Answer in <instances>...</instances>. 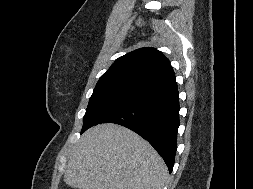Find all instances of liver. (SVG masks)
I'll list each match as a JSON object with an SVG mask.
<instances>
[{
    "label": "liver",
    "mask_w": 253,
    "mask_h": 189,
    "mask_svg": "<svg viewBox=\"0 0 253 189\" xmlns=\"http://www.w3.org/2000/svg\"><path fill=\"white\" fill-rule=\"evenodd\" d=\"M168 169L157 151L135 132L100 124L73 147L65 183L78 189H163Z\"/></svg>",
    "instance_id": "obj_1"
}]
</instances>
